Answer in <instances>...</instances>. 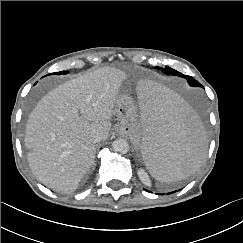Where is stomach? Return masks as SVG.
Returning <instances> with one entry per match:
<instances>
[{
  "instance_id": "1",
  "label": "stomach",
  "mask_w": 243,
  "mask_h": 243,
  "mask_svg": "<svg viewBox=\"0 0 243 243\" xmlns=\"http://www.w3.org/2000/svg\"><path fill=\"white\" fill-rule=\"evenodd\" d=\"M114 113L119 121L118 131L120 134L127 135L130 140L137 145V109L132 98L127 94L118 95Z\"/></svg>"
}]
</instances>
